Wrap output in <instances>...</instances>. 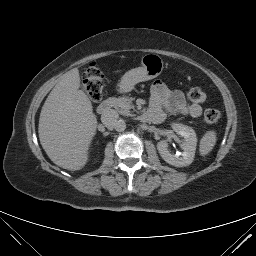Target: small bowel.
<instances>
[{
	"mask_svg": "<svg viewBox=\"0 0 256 256\" xmlns=\"http://www.w3.org/2000/svg\"><path fill=\"white\" fill-rule=\"evenodd\" d=\"M165 111L197 118L202 115L203 108L197 103L188 102L181 91L171 90L162 82L157 81L150 89L148 120L156 123L163 121Z\"/></svg>",
	"mask_w": 256,
	"mask_h": 256,
	"instance_id": "small-bowel-1",
	"label": "small bowel"
}]
</instances>
